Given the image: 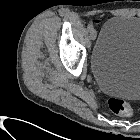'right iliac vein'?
Instances as JSON below:
<instances>
[{
	"label": "right iliac vein",
	"instance_id": "right-iliac-vein-1",
	"mask_svg": "<svg viewBox=\"0 0 140 140\" xmlns=\"http://www.w3.org/2000/svg\"><path fill=\"white\" fill-rule=\"evenodd\" d=\"M96 34H97L96 30H91L90 37H91L92 40L96 39Z\"/></svg>",
	"mask_w": 140,
	"mask_h": 140
}]
</instances>
